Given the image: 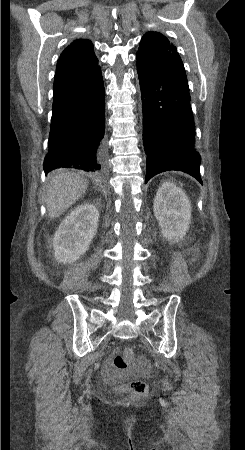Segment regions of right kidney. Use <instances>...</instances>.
Returning <instances> with one entry per match:
<instances>
[{"mask_svg":"<svg viewBox=\"0 0 245 450\" xmlns=\"http://www.w3.org/2000/svg\"><path fill=\"white\" fill-rule=\"evenodd\" d=\"M99 216L94 205L84 203L65 217L53 238L58 263H73L88 250L97 231Z\"/></svg>","mask_w":245,"mask_h":450,"instance_id":"1","label":"right kidney"}]
</instances>
